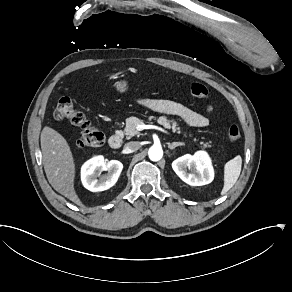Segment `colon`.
<instances>
[{"label":"colon","mask_w":292,"mask_h":292,"mask_svg":"<svg viewBox=\"0 0 292 292\" xmlns=\"http://www.w3.org/2000/svg\"><path fill=\"white\" fill-rule=\"evenodd\" d=\"M190 91L193 96L200 99H206L209 96L208 89L201 83H193ZM54 117L83 128L75 140L77 147H96L103 143L104 133L91 122L84 111L71 98H60L54 110ZM240 136V128L237 125H231L228 128V137L231 141H237Z\"/></svg>","instance_id":"1"}]
</instances>
